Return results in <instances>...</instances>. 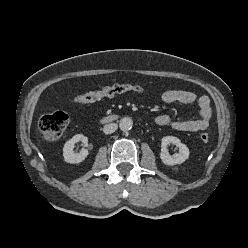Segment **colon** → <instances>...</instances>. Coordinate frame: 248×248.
Wrapping results in <instances>:
<instances>
[{
  "mask_svg": "<svg viewBox=\"0 0 248 248\" xmlns=\"http://www.w3.org/2000/svg\"><path fill=\"white\" fill-rule=\"evenodd\" d=\"M141 87L132 83H115L104 86L99 89L87 91L78 94L74 100L79 103H95L102 100L113 98L119 94L126 92H139ZM68 125V116L61 111L44 115L38 122V128L43 139L47 141L58 140L64 133ZM202 142L206 143L209 140V134L204 132L200 135Z\"/></svg>",
  "mask_w": 248,
  "mask_h": 248,
  "instance_id": "obj_1",
  "label": "colon"
}]
</instances>
